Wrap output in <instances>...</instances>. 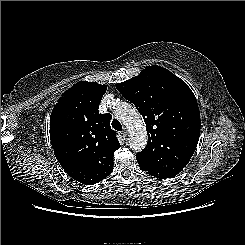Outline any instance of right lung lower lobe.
<instances>
[{"label":"right lung lower lobe","instance_id":"obj_1","mask_svg":"<svg viewBox=\"0 0 245 245\" xmlns=\"http://www.w3.org/2000/svg\"><path fill=\"white\" fill-rule=\"evenodd\" d=\"M113 167V166H112ZM112 167H110L108 169V171L105 173V175L103 177H107L111 172H112ZM67 172V174L72 177L73 179H75L76 181H79V175L76 173V171H74L73 169L70 170H65Z\"/></svg>","mask_w":245,"mask_h":245}]
</instances>
